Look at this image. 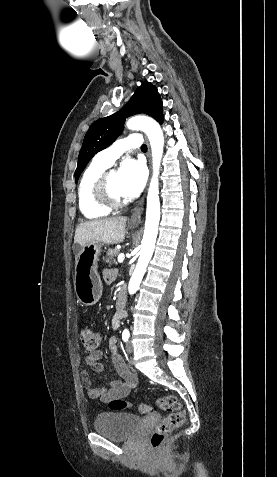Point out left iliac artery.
<instances>
[{
  "label": "left iliac artery",
  "mask_w": 277,
  "mask_h": 477,
  "mask_svg": "<svg viewBox=\"0 0 277 477\" xmlns=\"http://www.w3.org/2000/svg\"><path fill=\"white\" fill-rule=\"evenodd\" d=\"M122 339L124 342L128 341L129 339V331L127 329H125L122 333Z\"/></svg>",
  "instance_id": "44dca946"
}]
</instances>
